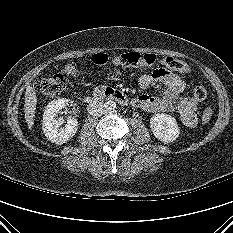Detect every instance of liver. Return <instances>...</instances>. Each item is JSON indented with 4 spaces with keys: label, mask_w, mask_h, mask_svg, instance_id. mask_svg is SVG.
Segmentation results:
<instances>
[{
    "label": "liver",
    "mask_w": 233,
    "mask_h": 233,
    "mask_svg": "<svg viewBox=\"0 0 233 233\" xmlns=\"http://www.w3.org/2000/svg\"><path fill=\"white\" fill-rule=\"evenodd\" d=\"M36 105H37L36 93L33 90V88L30 85H28L26 87V92H25L24 112H25V120L29 129H31L34 125Z\"/></svg>",
    "instance_id": "1"
}]
</instances>
